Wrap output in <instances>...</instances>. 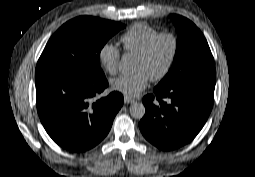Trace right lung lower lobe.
<instances>
[{
    "label": "right lung lower lobe",
    "instance_id": "98d812e1",
    "mask_svg": "<svg viewBox=\"0 0 255 177\" xmlns=\"http://www.w3.org/2000/svg\"><path fill=\"white\" fill-rule=\"evenodd\" d=\"M107 86L104 75L96 79L49 76L36 80L40 120L59 146L83 152L105 138L123 104L119 92L95 100Z\"/></svg>",
    "mask_w": 255,
    "mask_h": 177
}]
</instances>
